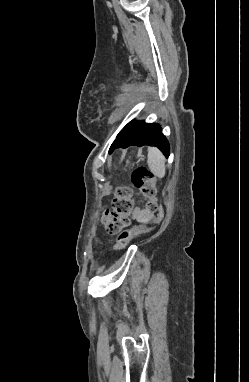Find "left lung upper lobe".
<instances>
[{"mask_svg":"<svg viewBox=\"0 0 249 382\" xmlns=\"http://www.w3.org/2000/svg\"><path fill=\"white\" fill-rule=\"evenodd\" d=\"M135 124V121L133 120V121H131V122H129L121 131H120V133H123V132H125V131H127L128 129H130L133 125ZM119 133V134H120Z\"/></svg>","mask_w":249,"mask_h":382,"instance_id":"1","label":"left lung upper lobe"}]
</instances>
